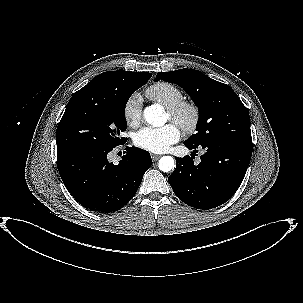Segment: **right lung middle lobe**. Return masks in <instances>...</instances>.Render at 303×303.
<instances>
[{
  "label": "right lung middle lobe",
  "mask_w": 303,
  "mask_h": 303,
  "mask_svg": "<svg viewBox=\"0 0 303 303\" xmlns=\"http://www.w3.org/2000/svg\"><path fill=\"white\" fill-rule=\"evenodd\" d=\"M150 78L125 82L107 92L77 91L68 102L56 132L57 151L70 148H113L127 128L125 106L130 96Z\"/></svg>",
  "instance_id": "right-lung-middle-lobe-1"
}]
</instances>
